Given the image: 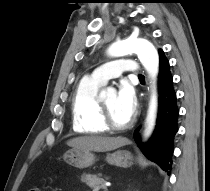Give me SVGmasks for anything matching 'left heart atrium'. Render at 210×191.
I'll use <instances>...</instances> for the list:
<instances>
[{"label": "left heart atrium", "mask_w": 210, "mask_h": 191, "mask_svg": "<svg viewBox=\"0 0 210 191\" xmlns=\"http://www.w3.org/2000/svg\"><path fill=\"white\" fill-rule=\"evenodd\" d=\"M117 105L129 118L134 115L137 107V98L134 89L127 82H122L119 86Z\"/></svg>", "instance_id": "left-heart-atrium-1"}]
</instances>
